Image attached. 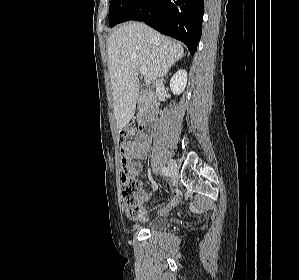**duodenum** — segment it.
<instances>
[{
	"label": "duodenum",
	"instance_id": "duodenum-1",
	"mask_svg": "<svg viewBox=\"0 0 299 280\" xmlns=\"http://www.w3.org/2000/svg\"><path fill=\"white\" fill-rule=\"evenodd\" d=\"M143 117L141 129L146 134H151L157 125V100L153 93L143 92L141 95Z\"/></svg>",
	"mask_w": 299,
	"mask_h": 280
}]
</instances>
